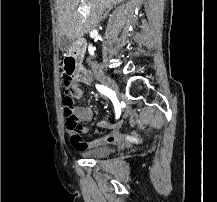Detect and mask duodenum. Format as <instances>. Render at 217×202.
<instances>
[{"instance_id":"1","label":"duodenum","mask_w":217,"mask_h":202,"mask_svg":"<svg viewBox=\"0 0 217 202\" xmlns=\"http://www.w3.org/2000/svg\"><path fill=\"white\" fill-rule=\"evenodd\" d=\"M84 44L77 42L70 50L65 53L64 69L65 72L76 81L88 83L89 77L82 65Z\"/></svg>"}]
</instances>
